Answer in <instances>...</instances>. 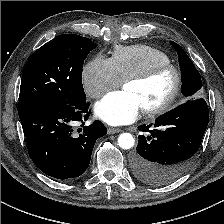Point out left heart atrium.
Listing matches in <instances>:
<instances>
[{
  "mask_svg": "<svg viewBox=\"0 0 224 224\" xmlns=\"http://www.w3.org/2000/svg\"><path fill=\"white\" fill-rule=\"evenodd\" d=\"M141 110L137 96L126 90L111 92L95 105L96 115L114 126L133 122Z\"/></svg>",
  "mask_w": 224,
  "mask_h": 224,
  "instance_id": "39dd6f15",
  "label": "left heart atrium"
}]
</instances>
